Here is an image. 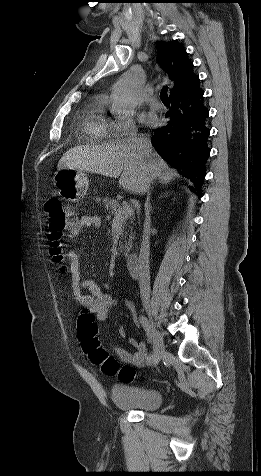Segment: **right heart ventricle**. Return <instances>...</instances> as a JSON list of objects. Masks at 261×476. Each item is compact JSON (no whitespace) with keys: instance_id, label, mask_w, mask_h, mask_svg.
I'll list each match as a JSON object with an SVG mask.
<instances>
[{"instance_id":"obj_1","label":"right heart ventricle","mask_w":261,"mask_h":476,"mask_svg":"<svg viewBox=\"0 0 261 476\" xmlns=\"http://www.w3.org/2000/svg\"><path fill=\"white\" fill-rule=\"evenodd\" d=\"M83 126L90 141L99 142L110 137L111 124L106 118L102 99H96L90 104Z\"/></svg>"}]
</instances>
